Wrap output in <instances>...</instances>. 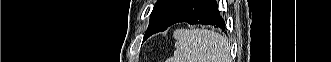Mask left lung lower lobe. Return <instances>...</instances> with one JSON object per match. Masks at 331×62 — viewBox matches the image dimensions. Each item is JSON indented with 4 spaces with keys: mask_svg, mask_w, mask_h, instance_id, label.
Instances as JSON below:
<instances>
[{
    "mask_svg": "<svg viewBox=\"0 0 331 62\" xmlns=\"http://www.w3.org/2000/svg\"><path fill=\"white\" fill-rule=\"evenodd\" d=\"M181 22L213 25L225 30L224 20L221 18L220 13L218 12L217 3L214 0H186L169 18L161 31ZM151 35V33L146 32L144 40Z\"/></svg>",
    "mask_w": 331,
    "mask_h": 62,
    "instance_id": "0a47b994",
    "label": "left lung lower lobe"
}]
</instances>
